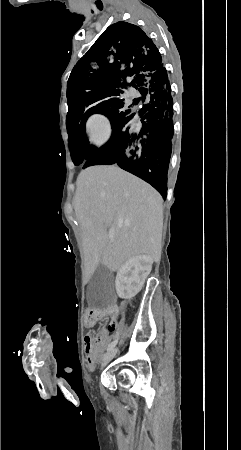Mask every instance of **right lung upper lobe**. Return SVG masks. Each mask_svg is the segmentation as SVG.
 Returning <instances> with one entry per match:
<instances>
[{
	"mask_svg": "<svg viewBox=\"0 0 241 450\" xmlns=\"http://www.w3.org/2000/svg\"><path fill=\"white\" fill-rule=\"evenodd\" d=\"M163 67L161 54L138 26L117 22L110 25L71 74L93 85L141 91V77Z\"/></svg>",
	"mask_w": 241,
	"mask_h": 450,
	"instance_id": "cb5924a9",
	"label": "right lung upper lobe"
}]
</instances>
